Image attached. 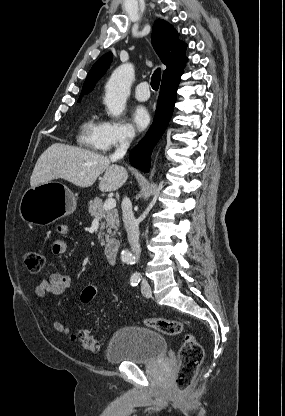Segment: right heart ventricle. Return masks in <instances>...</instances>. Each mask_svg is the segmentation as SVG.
<instances>
[{
    "instance_id": "1",
    "label": "right heart ventricle",
    "mask_w": 285,
    "mask_h": 416,
    "mask_svg": "<svg viewBox=\"0 0 285 416\" xmlns=\"http://www.w3.org/2000/svg\"><path fill=\"white\" fill-rule=\"evenodd\" d=\"M99 122L100 120L98 117L95 114H91L82 124L80 141L86 147L96 149L94 141L96 133L99 129Z\"/></svg>"
}]
</instances>
